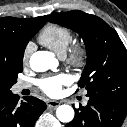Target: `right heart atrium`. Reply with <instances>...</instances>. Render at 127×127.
I'll return each instance as SVG.
<instances>
[{"mask_svg":"<svg viewBox=\"0 0 127 127\" xmlns=\"http://www.w3.org/2000/svg\"><path fill=\"white\" fill-rule=\"evenodd\" d=\"M34 50V44L33 43H28L25 47L24 53H23V61L28 62L32 52Z\"/></svg>","mask_w":127,"mask_h":127,"instance_id":"1","label":"right heart atrium"}]
</instances>
